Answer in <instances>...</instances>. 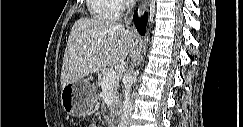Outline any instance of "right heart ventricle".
<instances>
[{"instance_id":"right-heart-ventricle-1","label":"right heart ventricle","mask_w":243,"mask_h":127,"mask_svg":"<svg viewBox=\"0 0 243 127\" xmlns=\"http://www.w3.org/2000/svg\"><path fill=\"white\" fill-rule=\"evenodd\" d=\"M116 0H88V11L97 21L110 22L117 17Z\"/></svg>"}]
</instances>
